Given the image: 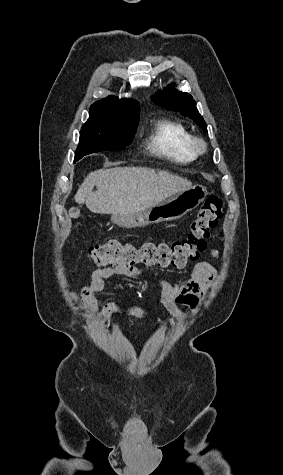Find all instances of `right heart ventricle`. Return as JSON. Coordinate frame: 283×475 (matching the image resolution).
I'll return each instance as SVG.
<instances>
[{
    "label": "right heart ventricle",
    "instance_id": "obj_1",
    "mask_svg": "<svg viewBox=\"0 0 283 475\" xmlns=\"http://www.w3.org/2000/svg\"><path fill=\"white\" fill-rule=\"evenodd\" d=\"M191 135L190 130L183 122L160 117L149 125L146 145L150 151L161 154L165 149H171L174 151V156L168 158L174 162H195L198 155L189 147Z\"/></svg>",
    "mask_w": 283,
    "mask_h": 475
}]
</instances>
